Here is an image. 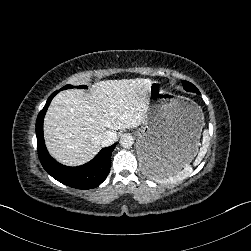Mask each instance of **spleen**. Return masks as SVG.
<instances>
[{
	"label": "spleen",
	"instance_id": "3e777b00",
	"mask_svg": "<svg viewBox=\"0 0 251 251\" xmlns=\"http://www.w3.org/2000/svg\"><path fill=\"white\" fill-rule=\"evenodd\" d=\"M210 137L208 130L203 131V139H202V146L200 147L198 156L194 161V165H198L202 159L204 158L205 154L207 153V149L209 147ZM193 172L192 167L189 164H185L181 170L176 173H167L164 171L163 168L154 167L148 168L146 173L150 176L155 178L156 180H161L162 182H173L176 183L178 181H182L183 179L187 178ZM162 178V179H160Z\"/></svg>",
	"mask_w": 251,
	"mask_h": 251
}]
</instances>
